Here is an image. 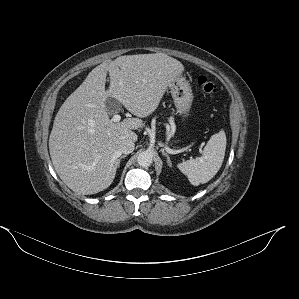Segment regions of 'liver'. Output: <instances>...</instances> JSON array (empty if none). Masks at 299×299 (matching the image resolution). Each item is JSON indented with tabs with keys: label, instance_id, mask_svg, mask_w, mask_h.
Listing matches in <instances>:
<instances>
[{
	"label": "liver",
	"instance_id": "obj_1",
	"mask_svg": "<svg viewBox=\"0 0 299 299\" xmlns=\"http://www.w3.org/2000/svg\"><path fill=\"white\" fill-rule=\"evenodd\" d=\"M184 66L163 54L117 57L95 67L55 116L49 151L61 180L74 192L96 194L108 188L118 167V144L143 126ZM109 73L110 86L105 90ZM115 98L137 118L110 120L106 99Z\"/></svg>",
	"mask_w": 299,
	"mask_h": 299
}]
</instances>
